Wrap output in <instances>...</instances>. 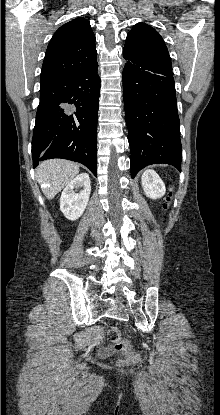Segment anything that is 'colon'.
Here are the masks:
<instances>
[{
  "label": "colon",
  "instance_id": "obj_1",
  "mask_svg": "<svg viewBox=\"0 0 220 415\" xmlns=\"http://www.w3.org/2000/svg\"><path fill=\"white\" fill-rule=\"evenodd\" d=\"M171 200L172 195L168 197L167 206L170 204ZM108 338L114 344L115 349L123 355V358L120 361L121 364L131 365L138 361L137 354L131 350L129 342L123 338L121 332L115 325L109 327Z\"/></svg>",
  "mask_w": 220,
  "mask_h": 415
}]
</instances>
